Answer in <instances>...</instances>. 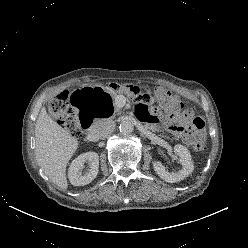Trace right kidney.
<instances>
[{
	"label": "right kidney",
	"mask_w": 248,
	"mask_h": 248,
	"mask_svg": "<svg viewBox=\"0 0 248 248\" xmlns=\"http://www.w3.org/2000/svg\"><path fill=\"white\" fill-rule=\"evenodd\" d=\"M88 168L84 169V164ZM99 156L95 152H86L72 161L68 169V178L74 186H84L91 183L98 174Z\"/></svg>",
	"instance_id": "obj_1"
}]
</instances>
